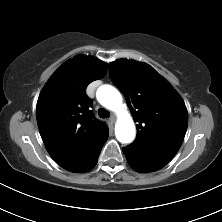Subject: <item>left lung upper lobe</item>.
Wrapping results in <instances>:
<instances>
[{
  "mask_svg": "<svg viewBox=\"0 0 222 222\" xmlns=\"http://www.w3.org/2000/svg\"><path fill=\"white\" fill-rule=\"evenodd\" d=\"M109 70L138 123L135 141L123 148L128 162L149 171L161 169L183 142L188 125L184 101L145 63L120 59L111 62Z\"/></svg>",
  "mask_w": 222,
  "mask_h": 222,
  "instance_id": "obj_1",
  "label": "left lung upper lobe"
}]
</instances>
